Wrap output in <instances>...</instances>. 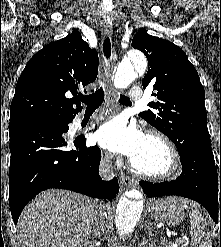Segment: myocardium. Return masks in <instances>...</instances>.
I'll list each match as a JSON object with an SVG mask.
<instances>
[{"mask_svg":"<svg viewBox=\"0 0 221 247\" xmlns=\"http://www.w3.org/2000/svg\"><path fill=\"white\" fill-rule=\"evenodd\" d=\"M147 137L155 138L162 142L168 149L171 159L170 168L163 173L152 174L146 173L135 167L132 160H129V167L131 171L138 177L151 181H166L177 177L182 171V158L179 149L176 144L165 133L152 129L146 133Z\"/></svg>","mask_w":221,"mask_h":247,"instance_id":"1","label":"myocardium"}]
</instances>
